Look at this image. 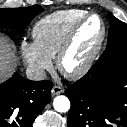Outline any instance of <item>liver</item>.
Instances as JSON below:
<instances>
[{
	"label": "liver",
	"instance_id": "obj_1",
	"mask_svg": "<svg viewBox=\"0 0 127 127\" xmlns=\"http://www.w3.org/2000/svg\"><path fill=\"white\" fill-rule=\"evenodd\" d=\"M16 66V54L9 39L0 34V83L10 76Z\"/></svg>",
	"mask_w": 127,
	"mask_h": 127
}]
</instances>
